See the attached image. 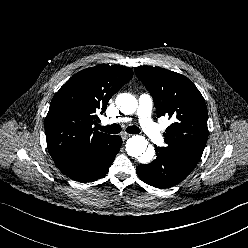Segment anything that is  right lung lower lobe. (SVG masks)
<instances>
[{
	"label": "right lung lower lobe",
	"mask_w": 248,
	"mask_h": 248,
	"mask_svg": "<svg viewBox=\"0 0 248 248\" xmlns=\"http://www.w3.org/2000/svg\"><path fill=\"white\" fill-rule=\"evenodd\" d=\"M121 145V137L111 135L94 150L79 156L71 165L60 168V170L75 181H95L108 172Z\"/></svg>",
	"instance_id": "right-lung-lower-lobe-1"
}]
</instances>
